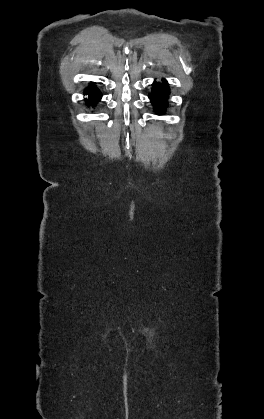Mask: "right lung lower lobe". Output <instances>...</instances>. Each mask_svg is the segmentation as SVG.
I'll list each match as a JSON object with an SVG mask.
<instances>
[{
	"label": "right lung lower lobe",
	"mask_w": 264,
	"mask_h": 419,
	"mask_svg": "<svg viewBox=\"0 0 264 419\" xmlns=\"http://www.w3.org/2000/svg\"><path fill=\"white\" fill-rule=\"evenodd\" d=\"M84 95H88V99H86V101L87 103L89 101L88 105H92V106L101 99L100 91L94 86L87 88L84 91Z\"/></svg>",
	"instance_id": "98d812e1"
}]
</instances>
